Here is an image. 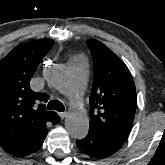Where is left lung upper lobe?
I'll return each instance as SVG.
<instances>
[{"label":"left lung upper lobe","instance_id":"obj_1","mask_svg":"<svg viewBox=\"0 0 165 165\" xmlns=\"http://www.w3.org/2000/svg\"><path fill=\"white\" fill-rule=\"evenodd\" d=\"M93 56L90 127L124 141L133 124L137 96L127 66L104 44L87 40Z\"/></svg>","mask_w":165,"mask_h":165}]
</instances>
